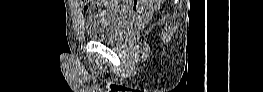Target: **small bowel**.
<instances>
[{
    "label": "small bowel",
    "instance_id": "1",
    "mask_svg": "<svg viewBox=\"0 0 263 92\" xmlns=\"http://www.w3.org/2000/svg\"><path fill=\"white\" fill-rule=\"evenodd\" d=\"M76 5H79V3L77 1H73Z\"/></svg>",
    "mask_w": 263,
    "mask_h": 92
}]
</instances>
